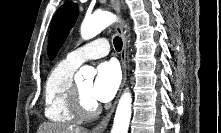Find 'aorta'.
<instances>
[{
  "mask_svg": "<svg viewBox=\"0 0 221 133\" xmlns=\"http://www.w3.org/2000/svg\"><path fill=\"white\" fill-rule=\"evenodd\" d=\"M116 21V16L110 12L103 11L95 13L84 19L81 25V36L83 39H91L98 35L105 28ZM95 70L89 66H82L76 73L75 79L82 80L83 77H92ZM132 114V97L129 90H126L117 105L114 123L111 133H128L129 123Z\"/></svg>",
  "mask_w": 221,
  "mask_h": 133,
  "instance_id": "762f6f07",
  "label": "aorta"
}]
</instances>
